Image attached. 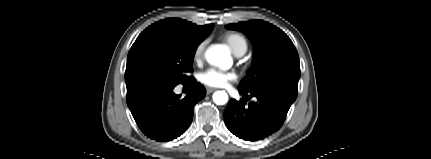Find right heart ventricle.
Here are the masks:
<instances>
[{"label": "right heart ventricle", "instance_id": "e07e8e85", "mask_svg": "<svg viewBox=\"0 0 431 159\" xmlns=\"http://www.w3.org/2000/svg\"><path fill=\"white\" fill-rule=\"evenodd\" d=\"M223 39L235 55L246 52L248 44L243 35L239 33H227L223 36Z\"/></svg>", "mask_w": 431, "mask_h": 159}]
</instances>
